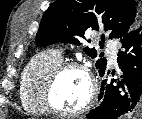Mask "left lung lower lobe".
Instances as JSON below:
<instances>
[{"instance_id": "obj_1", "label": "left lung lower lobe", "mask_w": 142, "mask_h": 119, "mask_svg": "<svg viewBox=\"0 0 142 119\" xmlns=\"http://www.w3.org/2000/svg\"><path fill=\"white\" fill-rule=\"evenodd\" d=\"M120 41L117 62L121 76L111 82L102 81L100 105L87 114V119H118L124 114L142 113V25L127 32ZM99 74L104 76L105 70Z\"/></svg>"}]
</instances>
